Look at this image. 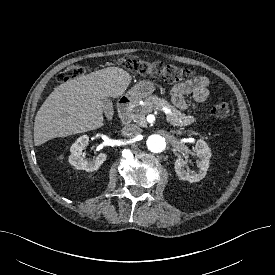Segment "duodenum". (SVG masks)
Returning <instances> with one entry per match:
<instances>
[{"mask_svg": "<svg viewBox=\"0 0 275 275\" xmlns=\"http://www.w3.org/2000/svg\"><path fill=\"white\" fill-rule=\"evenodd\" d=\"M133 102H134V98L130 96L122 97L119 100L117 104V109H118L119 116L123 122L128 121L129 110Z\"/></svg>", "mask_w": 275, "mask_h": 275, "instance_id": "410a0bca", "label": "duodenum"}]
</instances>
